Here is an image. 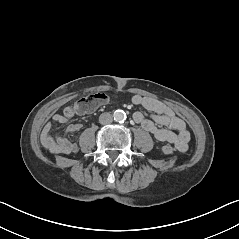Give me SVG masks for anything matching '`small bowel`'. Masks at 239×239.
<instances>
[{
    "label": "small bowel",
    "instance_id": "1",
    "mask_svg": "<svg viewBox=\"0 0 239 239\" xmlns=\"http://www.w3.org/2000/svg\"><path fill=\"white\" fill-rule=\"evenodd\" d=\"M132 103L152 112L150 119L145 118L141 112L133 114V120L144 130L150 132L159 141L173 144L181 152L188 149L190 134L184 121L175 114L171 107L155 98L141 95H134ZM73 108L74 106H68L62 114H55L42 130V144L53 154H69L77 150L76 142L71 140L69 135L80 130L81 124H71L56 136L52 134L53 126L57 123L67 122L77 113L83 114L94 109L74 111Z\"/></svg>",
    "mask_w": 239,
    "mask_h": 239
}]
</instances>
